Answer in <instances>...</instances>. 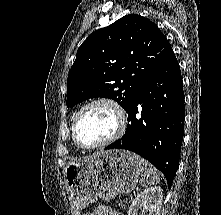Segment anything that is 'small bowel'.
Segmentation results:
<instances>
[{"mask_svg":"<svg viewBox=\"0 0 221 215\" xmlns=\"http://www.w3.org/2000/svg\"><path fill=\"white\" fill-rule=\"evenodd\" d=\"M86 215H122L118 210L110 207H98L91 213H88Z\"/></svg>","mask_w":221,"mask_h":215,"instance_id":"small-bowel-1","label":"small bowel"}]
</instances>
